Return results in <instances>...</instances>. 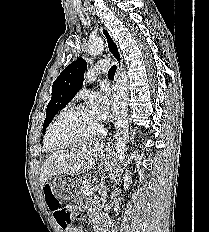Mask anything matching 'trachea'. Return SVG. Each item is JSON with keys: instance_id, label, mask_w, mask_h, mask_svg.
I'll return each instance as SVG.
<instances>
[{"instance_id": "trachea-1", "label": "trachea", "mask_w": 209, "mask_h": 232, "mask_svg": "<svg viewBox=\"0 0 209 232\" xmlns=\"http://www.w3.org/2000/svg\"><path fill=\"white\" fill-rule=\"evenodd\" d=\"M116 69H117L116 65H112V67L110 68L108 72V78H114Z\"/></svg>"}]
</instances>
